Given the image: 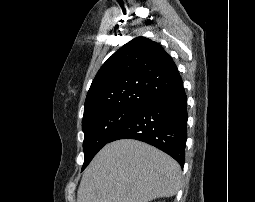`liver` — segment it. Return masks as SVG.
Returning <instances> with one entry per match:
<instances>
[{
  "label": "liver",
  "mask_w": 255,
  "mask_h": 202,
  "mask_svg": "<svg viewBox=\"0 0 255 202\" xmlns=\"http://www.w3.org/2000/svg\"><path fill=\"white\" fill-rule=\"evenodd\" d=\"M179 164L166 153L133 139L104 146L84 171L77 202H149L177 194Z\"/></svg>",
  "instance_id": "liver-1"
}]
</instances>
